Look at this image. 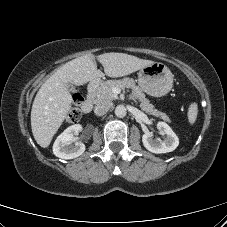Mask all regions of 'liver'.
<instances>
[{
	"label": "liver",
	"instance_id": "liver-1",
	"mask_svg": "<svg viewBox=\"0 0 227 227\" xmlns=\"http://www.w3.org/2000/svg\"><path fill=\"white\" fill-rule=\"evenodd\" d=\"M96 56L87 54L61 66L47 79L33 101L31 129L41 147L46 148L71 110L72 96L66 85H84L107 75L112 78L129 75L154 62L125 53H104L97 60L104 73L97 69Z\"/></svg>",
	"mask_w": 227,
	"mask_h": 227
}]
</instances>
